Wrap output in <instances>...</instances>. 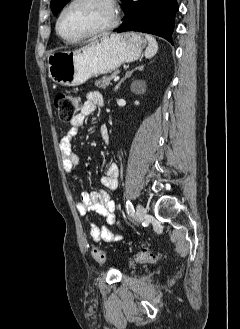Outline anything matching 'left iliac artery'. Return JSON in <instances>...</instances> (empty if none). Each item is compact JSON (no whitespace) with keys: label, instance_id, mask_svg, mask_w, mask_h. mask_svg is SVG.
I'll use <instances>...</instances> for the list:
<instances>
[{"label":"left iliac artery","instance_id":"obj_1","mask_svg":"<svg viewBox=\"0 0 240 329\" xmlns=\"http://www.w3.org/2000/svg\"><path fill=\"white\" fill-rule=\"evenodd\" d=\"M126 208H127L128 215L132 216L134 214V207L129 200L126 202Z\"/></svg>","mask_w":240,"mask_h":329}]
</instances>
